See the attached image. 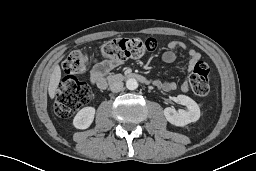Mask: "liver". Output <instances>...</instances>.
I'll return each mask as SVG.
<instances>
[{
    "instance_id": "obj_1",
    "label": "liver",
    "mask_w": 256,
    "mask_h": 171,
    "mask_svg": "<svg viewBox=\"0 0 256 171\" xmlns=\"http://www.w3.org/2000/svg\"><path fill=\"white\" fill-rule=\"evenodd\" d=\"M61 79V69L59 65H55L50 76L49 86H48V93L51 99H53L56 95V91Z\"/></svg>"
}]
</instances>
